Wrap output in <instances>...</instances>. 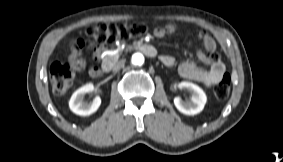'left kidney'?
Instances as JSON below:
<instances>
[{
    "instance_id": "1",
    "label": "left kidney",
    "mask_w": 283,
    "mask_h": 162,
    "mask_svg": "<svg viewBox=\"0 0 283 162\" xmlns=\"http://www.w3.org/2000/svg\"><path fill=\"white\" fill-rule=\"evenodd\" d=\"M179 87L187 89L191 94V98L184 101L180 97H175L174 105L178 111L185 115H196L200 113L207 102L205 92L196 84L186 81L181 82Z\"/></svg>"
}]
</instances>
